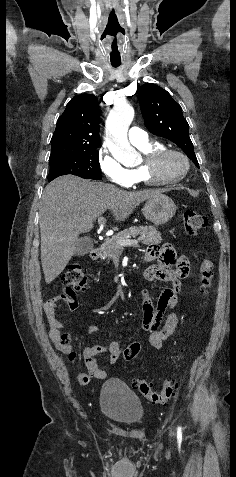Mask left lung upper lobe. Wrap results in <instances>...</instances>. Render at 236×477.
Returning a JSON list of instances; mask_svg holds the SVG:
<instances>
[{
  "label": "left lung upper lobe",
  "instance_id": "1",
  "mask_svg": "<svg viewBox=\"0 0 236 477\" xmlns=\"http://www.w3.org/2000/svg\"><path fill=\"white\" fill-rule=\"evenodd\" d=\"M139 101L146 128L177 144L199 168L189 137V125L180 105L166 90L152 83L140 87Z\"/></svg>",
  "mask_w": 236,
  "mask_h": 477
}]
</instances>
